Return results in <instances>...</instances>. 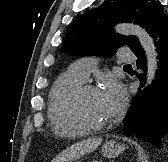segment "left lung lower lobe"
<instances>
[{
	"instance_id": "0a47b994",
	"label": "left lung lower lobe",
	"mask_w": 168,
	"mask_h": 162,
	"mask_svg": "<svg viewBox=\"0 0 168 162\" xmlns=\"http://www.w3.org/2000/svg\"><path fill=\"white\" fill-rule=\"evenodd\" d=\"M157 48L158 69L149 89L141 90L145 75L140 80L138 94L124 118V134L148 141L160 147L161 138L168 133V15L162 16L149 30ZM137 67L146 71V57L141 46L133 51Z\"/></svg>"
}]
</instances>
